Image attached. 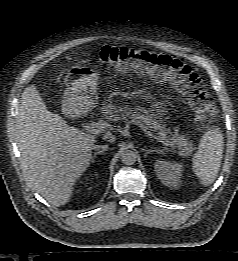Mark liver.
<instances>
[{
  "instance_id": "6515ba94",
  "label": "liver",
  "mask_w": 238,
  "mask_h": 261,
  "mask_svg": "<svg viewBox=\"0 0 238 261\" xmlns=\"http://www.w3.org/2000/svg\"><path fill=\"white\" fill-rule=\"evenodd\" d=\"M17 145L29 187L54 206L65 205L89 167L96 137L47 110L34 85L26 87L16 119Z\"/></svg>"
}]
</instances>
